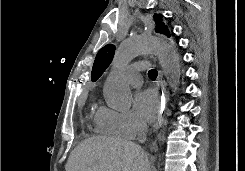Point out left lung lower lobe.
<instances>
[{
  "label": "left lung lower lobe",
  "mask_w": 245,
  "mask_h": 171,
  "mask_svg": "<svg viewBox=\"0 0 245 171\" xmlns=\"http://www.w3.org/2000/svg\"><path fill=\"white\" fill-rule=\"evenodd\" d=\"M179 66L180 67H187L188 66V63L187 62H180L179 63Z\"/></svg>",
  "instance_id": "0a47b994"
}]
</instances>
